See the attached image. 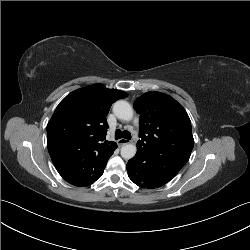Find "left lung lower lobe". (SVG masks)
<instances>
[{"label": "left lung lower lobe", "mask_w": 250, "mask_h": 250, "mask_svg": "<svg viewBox=\"0 0 250 250\" xmlns=\"http://www.w3.org/2000/svg\"><path fill=\"white\" fill-rule=\"evenodd\" d=\"M180 170L175 167L152 162L137 150L127 163V172L132 182L142 188H157L169 182Z\"/></svg>", "instance_id": "left-lung-lower-lobe-1"}]
</instances>
